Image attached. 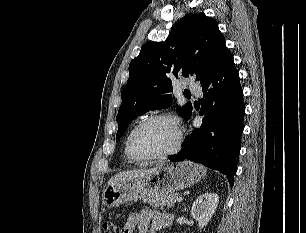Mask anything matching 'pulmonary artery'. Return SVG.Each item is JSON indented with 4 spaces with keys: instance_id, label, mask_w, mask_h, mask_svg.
<instances>
[{
    "instance_id": "obj_1",
    "label": "pulmonary artery",
    "mask_w": 306,
    "mask_h": 233,
    "mask_svg": "<svg viewBox=\"0 0 306 233\" xmlns=\"http://www.w3.org/2000/svg\"><path fill=\"white\" fill-rule=\"evenodd\" d=\"M189 90L197 95H201L202 94V88L196 84L195 82L191 81L188 85Z\"/></svg>"
}]
</instances>
